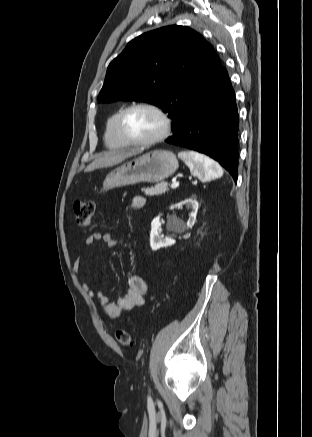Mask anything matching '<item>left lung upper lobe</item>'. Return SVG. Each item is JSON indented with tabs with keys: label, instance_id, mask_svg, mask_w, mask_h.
<instances>
[{
	"label": "left lung upper lobe",
	"instance_id": "1",
	"mask_svg": "<svg viewBox=\"0 0 312 437\" xmlns=\"http://www.w3.org/2000/svg\"><path fill=\"white\" fill-rule=\"evenodd\" d=\"M221 67L199 33L177 25L162 27L130 41L109 64L98 102H148L167 113L175 129Z\"/></svg>",
	"mask_w": 312,
	"mask_h": 437
}]
</instances>
